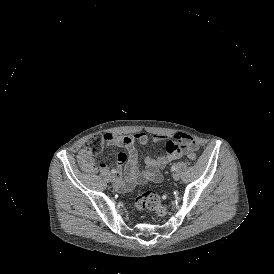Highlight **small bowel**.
<instances>
[{"label":"small bowel","instance_id":"obj_1","mask_svg":"<svg viewBox=\"0 0 274 274\" xmlns=\"http://www.w3.org/2000/svg\"><path fill=\"white\" fill-rule=\"evenodd\" d=\"M164 138L163 135H155L153 140L160 143ZM175 138L185 145V150L193 149L196 151L198 148V143L186 134H177ZM103 139L107 145H115L126 149V152H120L117 156L118 167L124 166V178L120 174L116 178V187L122 191H130L136 184L144 185L148 181L160 182L162 180L160 170L167 164H172L174 160L182 159L184 155L181 143L177 141L165 142L158 147L156 159L150 157L145 159V170L141 172L138 165L139 156L135 142L141 145L147 144L149 137L145 132H137L130 136L106 134ZM78 162L86 172L106 169V164L96 161L87 149H82L79 152Z\"/></svg>","mask_w":274,"mask_h":274}]
</instances>
